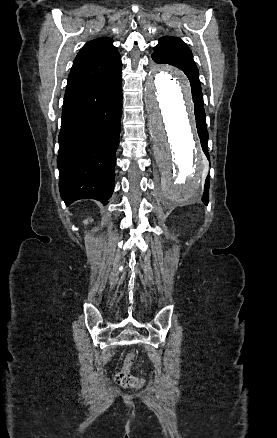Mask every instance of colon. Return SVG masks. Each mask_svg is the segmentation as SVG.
<instances>
[{
    "instance_id": "5ec220e1",
    "label": "colon",
    "mask_w": 277,
    "mask_h": 438,
    "mask_svg": "<svg viewBox=\"0 0 277 438\" xmlns=\"http://www.w3.org/2000/svg\"><path fill=\"white\" fill-rule=\"evenodd\" d=\"M132 358H133V354L131 353L128 355L127 359L130 361V360H132ZM115 381L119 385L124 386V387H138L142 384V380L140 378H137V377L131 375L129 372H127L125 370L116 374ZM145 386L147 388H150L152 386V383L150 381H147L145 383Z\"/></svg>"
}]
</instances>
